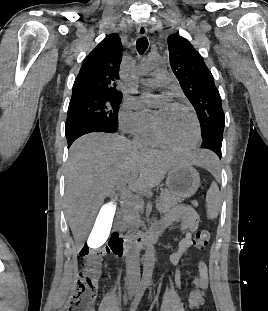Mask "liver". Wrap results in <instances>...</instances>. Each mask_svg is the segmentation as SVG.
Returning a JSON list of instances; mask_svg holds the SVG:
<instances>
[{
	"label": "liver",
	"instance_id": "liver-1",
	"mask_svg": "<svg viewBox=\"0 0 268 311\" xmlns=\"http://www.w3.org/2000/svg\"><path fill=\"white\" fill-rule=\"evenodd\" d=\"M212 154L196 151L188 158L148 149L118 134L90 133L76 140L66 167L67 217L76 246H83L107 197L124 180L141 192L159 185L168 171L182 162L205 167ZM106 207V206H105Z\"/></svg>",
	"mask_w": 268,
	"mask_h": 311
}]
</instances>
